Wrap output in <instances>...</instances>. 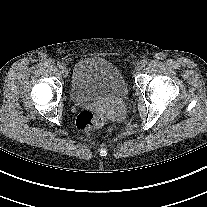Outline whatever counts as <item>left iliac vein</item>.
<instances>
[{
  "mask_svg": "<svg viewBox=\"0 0 207 207\" xmlns=\"http://www.w3.org/2000/svg\"><path fill=\"white\" fill-rule=\"evenodd\" d=\"M142 68H143L142 63L141 62H138L137 65H136L137 71H140Z\"/></svg>",
  "mask_w": 207,
  "mask_h": 207,
  "instance_id": "1",
  "label": "left iliac vein"
}]
</instances>
